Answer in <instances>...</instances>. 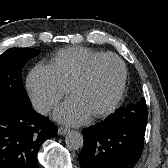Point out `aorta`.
I'll return each mask as SVG.
<instances>
[{"label": "aorta", "instance_id": "obj_1", "mask_svg": "<svg viewBox=\"0 0 168 168\" xmlns=\"http://www.w3.org/2000/svg\"><path fill=\"white\" fill-rule=\"evenodd\" d=\"M83 135L78 131H70L66 134L65 142L70 150H78L83 146Z\"/></svg>", "mask_w": 168, "mask_h": 168}]
</instances>
